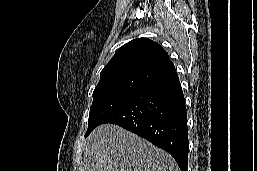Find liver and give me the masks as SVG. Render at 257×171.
Masks as SVG:
<instances>
[{"label": "liver", "mask_w": 257, "mask_h": 171, "mask_svg": "<svg viewBox=\"0 0 257 171\" xmlns=\"http://www.w3.org/2000/svg\"><path fill=\"white\" fill-rule=\"evenodd\" d=\"M84 171L180 170L166 151L115 124H103L87 138Z\"/></svg>", "instance_id": "6515ba94"}]
</instances>
